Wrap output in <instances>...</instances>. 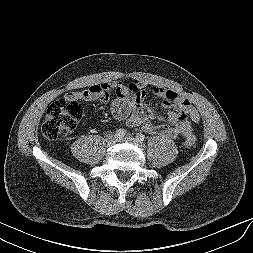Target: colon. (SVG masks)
Wrapping results in <instances>:
<instances>
[{"instance_id":"1","label":"colon","mask_w":253,"mask_h":253,"mask_svg":"<svg viewBox=\"0 0 253 253\" xmlns=\"http://www.w3.org/2000/svg\"><path fill=\"white\" fill-rule=\"evenodd\" d=\"M82 116V107L78 101L59 99L53 102L45 115L41 128L44 138L55 140L60 136L70 133ZM196 138L193 135L186 137L185 145L193 147Z\"/></svg>"}]
</instances>
